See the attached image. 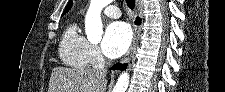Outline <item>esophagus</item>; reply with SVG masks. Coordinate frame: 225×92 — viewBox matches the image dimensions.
<instances>
[{
  "label": "esophagus",
  "instance_id": "1",
  "mask_svg": "<svg viewBox=\"0 0 225 92\" xmlns=\"http://www.w3.org/2000/svg\"><path fill=\"white\" fill-rule=\"evenodd\" d=\"M138 38H139V29L136 26L134 29V36H133L132 44H131L130 48L128 49L127 53L125 54V56L123 57V59L121 60V63H126L129 61L134 49L137 46Z\"/></svg>",
  "mask_w": 225,
  "mask_h": 92
}]
</instances>
